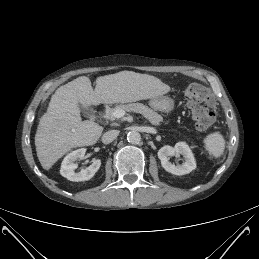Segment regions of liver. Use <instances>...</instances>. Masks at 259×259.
<instances>
[{"mask_svg":"<svg viewBox=\"0 0 259 259\" xmlns=\"http://www.w3.org/2000/svg\"><path fill=\"white\" fill-rule=\"evenodd\" d=\"M169 90L158 78L133 71L100 76L94 90L86 76L60 86L52 95L35 134L41 166L49 170L72 148L93 145L101 136L102 126L93 120L82 121L79 104L89 107L135 102L161 96Z\"/></svg>","mask_w":259,"mask_h":259,"instance_id":"obj_1","label":"liver"}]
</instances>
